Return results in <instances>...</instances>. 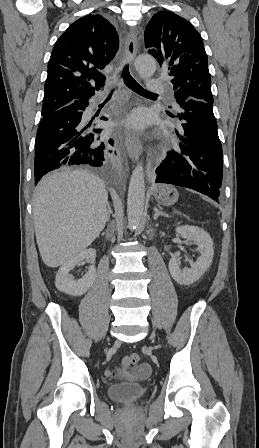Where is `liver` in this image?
<instances>
[{
	"label": "liver",
	"mask_w": 259,
	"mask_h": 448,
	"mask_svg": "<svg viewBox=\"0 0 259 448\" xmlns=\"http://www.w3.org/2000/svg\"><path fill=\"white\" fill-rule=\"evenodd\" d=\"M108 192L87 170H63L42 178L33 194V220L40 256L58 268L88 248L107 222Z\"/></svg>",
	"instance_id": "liver-1"
}]
</instances>
